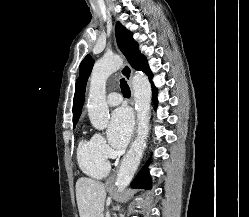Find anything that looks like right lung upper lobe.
<instances>
[{"label": "right lung upper lobe", "mask_w": 249, "mask_h": 217, "mask_svg": "<svg viewBox=\"0 0 249 217\" xmlns=\"http://www.w3.org/2000/svg\"><path fill=\"white\" fill-rule=\"evenodd\" d=\"M83 101H84V96H83L82 87L79 80H77L75 86L74 102H73V124L75 125L80 117Z\"/></svg>", "instance_id": "1"}]
</instances>
